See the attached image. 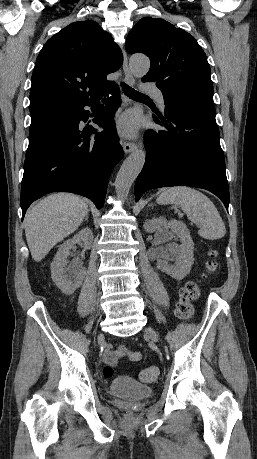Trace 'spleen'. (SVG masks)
Here are the masks:
<instances>
[{
  "instance_id": "3e777b00",
  "label": "spleen",
  "mask_w": 257,
  "mask_h": 459,
  "mask_svg": "<svg viewBox=\"0 0 257 459\" xmlns=\"http://www.w3.org/2000/svg\"><path fill=\"white\" fill-rule=\"evenodd\" d=\"M162 204L179 206L188 219L200 226L198 234L207 240H217L226 233L225 224L213 204L202 192L186 186L166 189L158 197Z\"/></svg>"
}]
</instances>
